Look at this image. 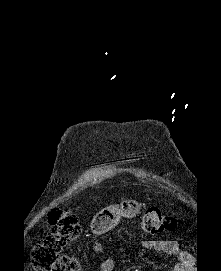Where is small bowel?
<instances>
[{"label": "small bowel", "instance_id": "c3829d8e", "mask_svg": "<svg viewBox=\"0 0 221 271\" xmlns=\"http://www.w3.org/2000/svg\"><path fill=\"white\" fill-rule=\"evenodd\" d=\"M141 245L148 251H160L168 255L179 256L180 263L172 271H191L192 256L185 251H179L175 240L170 239H144ZM115 260L113 258L104 259L99 265V271H113Z\"/></svg>", "mask_w": 221, "mask_h": 271}]
</instances>
